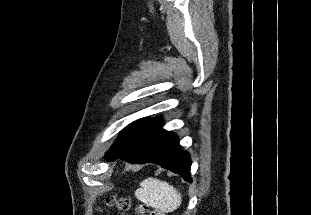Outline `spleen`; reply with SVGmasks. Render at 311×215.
I'll return each mask as SVG.
<instances>
[{
    "label": "spleen",
    "mask_w": 311,
    "mask_h": 215,
    "mask_svg": "<svg viewBox=\"0 0 311 215\" xmlns=\"http://www.w3.org/2000/svg\"><path fill=\"white\" fill-rule=\"evenodd\" d=\"M138 200L161 212H173L182 202L181 194L176 188L157 178H147L135 191Z\"/></svg>",
    "instance_id": "1"
}]
</instances>
